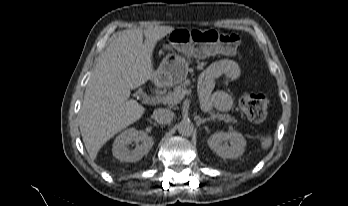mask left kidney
<instances>
[{
    "label": "left kidney",
    "mask_w": 348,
    "mask_h": 206,
    "mask_svg": "<svg viewBox=\"0 0 348 206\" xmlns=\"http://www.w3.org/2000/svg\"><path fill=\"white\" fill-rule=\"evenodd\" d=\"M208 145L218 156L235 159L244 153L246 140L238 131L217 132L208 139Z\"/></svg>",
    "instance_id": "obj_1"
}]
</instances>
